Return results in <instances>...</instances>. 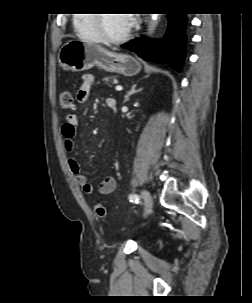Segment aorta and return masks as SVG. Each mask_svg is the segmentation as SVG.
I'll use <instances>...</instances> for the list:
<instances>
[{
    "label": "aorta",
    "mask_w": 252,
    "mask_h": 303,
    "mask_svg": "<svg viewBox=\"0 0 252 303\" xmlns=\"http://www.w3.org/2000/svg\"><path fill=\"white\" fill-rule=\"evenodd\" d=\"M158 14H151V20H152V23L150 25V30H152L155 25H156V21L158 20Z\"/></svg>",
    "instance_id": "762f6f07"
}]
</instances>
